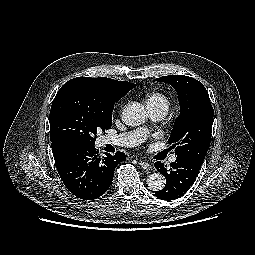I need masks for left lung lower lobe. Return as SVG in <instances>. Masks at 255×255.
<instances>
[{
    "label": "left lung lower lobe",
    "instance_id": "left-lung-lower-lobe-1",
    "mask_svg": "<svg viewBox=\"0 0 255 255\" xmlns=\"http://www.w3.org/2000/svg\"><path fill=\"white\" fill-rule=\"evenodd\" d=\"M202 163L193 158L178 156L167 169L163 163L156 162L155 168L165 176L166 185L155 192V196L162 200H175L185 194L196 180Z\"/></svg>",
    "mask_w": 255,
    "mask_h": 255
}]
</instances>
